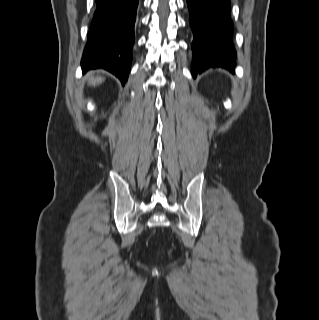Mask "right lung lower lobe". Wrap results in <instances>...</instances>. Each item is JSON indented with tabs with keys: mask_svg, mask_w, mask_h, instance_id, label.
Masks as SVG:
<instances>
[{
	"mask_svg": "<svg viewBox=\"0 0 319 320\" xmlns=\"http://www.w3.org/2000/svg\"><path fill=\"white\" fill-rule=\"evenodd\" d=\"M139 0H95L96 10L81 60L83 71L103 68L124 84L132 61Z\"/></svg>",
	"mask_w": 319,
	"mask_h": 320,
	"instance_id": "98d812e1",
	"label": "right lung lower lobe"
}]
</instances>
